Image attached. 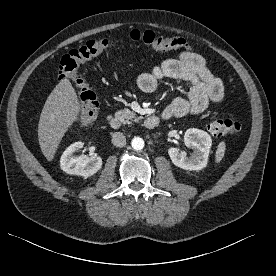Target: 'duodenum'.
Here are the masks:
<instances>
[{
	"instance_id": "obj_1",
	"label": "duodenum",
	"mask_w": 276,
	"mask_h": 276,
	"mask_svg": "<svg viewBox=\"0 0 276 276\" xmlns=\"http://www.w3.org/2000/svg\"><path fill=\"white\" fill-rule=\"evenodd\" d=\"M165 119L167 118L164 116H149L145 119L144 126L147 129H155ZM107 120L112 129L118 130L121 128L122 122L118 117L108 116Z\"/></svg>"
}]
</instances>
